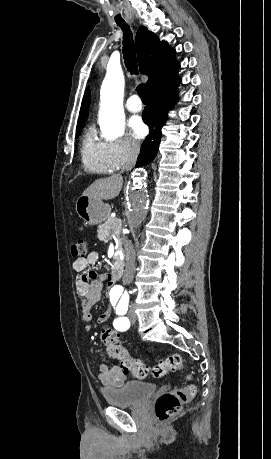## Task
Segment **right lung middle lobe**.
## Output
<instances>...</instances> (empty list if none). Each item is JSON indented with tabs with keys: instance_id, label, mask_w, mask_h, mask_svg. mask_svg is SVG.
Instances as JSON below:
<instances>
[{
	"instance_id": "right-lung-middle-lobe-1",
	"label": "right lung middle lobe",
	"mask_w": 271,
	"mask_h": 459,
	"mask_svg": "<svg viewBox=\"0 0 271 459\" xmlns=\"http://www.w3.org/2000/svg\"><path fill=\"white\" fill-rule=\"evenodd\" d=\"M84 122H85V120H82V121H78V124H77V130H76V136H78V135H79V133H80L81 129H82V128H83V126H84Z\"/></svg>"
}]
</instances>
